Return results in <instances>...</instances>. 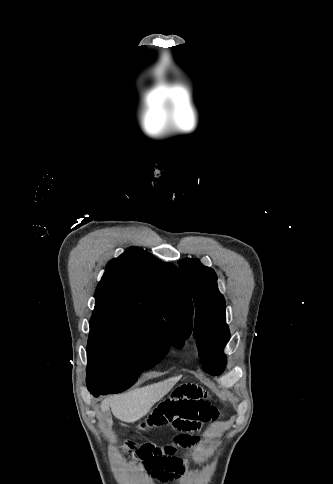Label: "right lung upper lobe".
<instances>
[{"mask_svg": "<svg viewBox=\"0 0 333 484\" xmlns=\"http://www.w3.org/2000/svg\"><path fill=\"white\" fill-rule=\"evenodd\" d=\"M93 315H121L153 323L174 321L192 331L193 305L179 269L139 247L112 259L95 292Z\"/></svg>", "mask_w": 333, "mask_h": 484, "instance_id": "obj_1", "label": "right lung upper lobe"}]
</instances>
